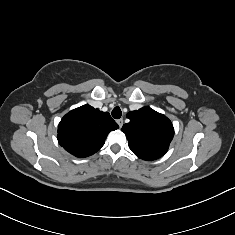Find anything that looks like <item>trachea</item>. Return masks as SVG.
Wrapping results in <instances>:
<instances>
[{"instance_id":"trachea-1","label":"trachea","mask_w":235,"mask_h":235,"mask_svg":"<svg viewBox=\"0 0 235 235\" xmlns=\"http://www.w3.org/2000/svg\"><path fill=\"white\" fill-rule=\"evenodd\" d=\"M122 115L121 109L117 106L112 110V116L115 119H119Z\"/></svg>"}]
</instances>
